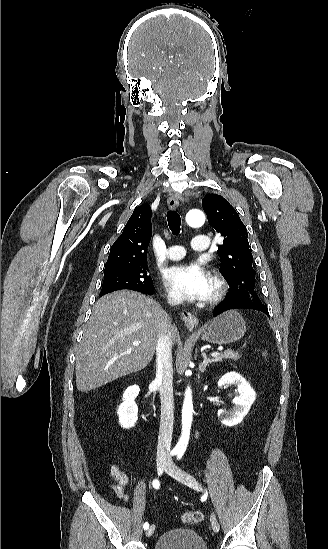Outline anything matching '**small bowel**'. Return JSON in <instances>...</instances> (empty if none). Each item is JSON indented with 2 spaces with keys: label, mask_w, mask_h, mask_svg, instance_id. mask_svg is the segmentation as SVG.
Wrapping results in <instances>:
<instances>
[{
  "label": "small bowel",
  "mask_w": 328,
  "mask_h": 549,
  "mask_svg": "<svg viewBox=\"0 0 328 549\" xmlns=\"http://www.w3.org/2000/svg\"><path fill=\"white\" fill-rule=\"evenodd\" d=\"M110 474L115 481L113 485L114 492L116 493L118 498H124V488L128 483V476L123 471H121L117 465L111 466Z\"/></svg>",
  "instance_id": "obj_1"
}]
</instances>
